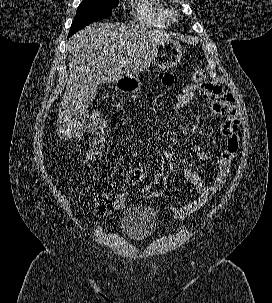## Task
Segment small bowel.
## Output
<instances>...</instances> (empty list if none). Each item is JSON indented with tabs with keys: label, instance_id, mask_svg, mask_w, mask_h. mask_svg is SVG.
<instances>
[{
	"label": "small bowel",
	"instance_id": "c3829d8e",
	"mask_svg": "<svg viewBox=\"0 0 272 303\" xmlns=\"http://www.w3.org/2000/svg\"><path fill=\"white\" fill-rule=\"evenodd\" d=\"M161 81L164 84L171 85L176 81V78L169 73H165L161 76ZM197 91L200 96L210 100V109L214 114L225 117L221 133L226 139V146L217 159V172L212 182L206 183L195 170L188 167L183 168L185 177L193 185L198 196L181 206L170 208V212L177 219L186 218L199 210L221 189L228 177L230 163L236 156L238 149L239 117L233 105V98L223 92L218 84L211 81L200 83L197 86ZM195 154L202 161H207L210 158L200 145L196 146ZM142 155L153 159L152 154ZM147 174V170L141 166L132 167L127 171L126 182L131 186L138 185L147 177Z\"/></svg>",
	"mask_w": 272,
	"mask_h": 303
}]
</instances>
